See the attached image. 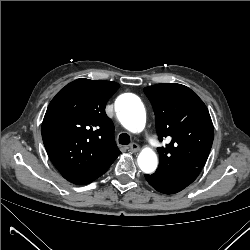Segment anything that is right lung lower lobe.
Listing matches in <instances>:
<instances>
[{
	"mask_svg": "<svg viewBox=\"0 0 250 250\" xmlns=\"http://www.w3.org/2000/svg\"><path fill=\"white\" fill-rule=\"evenodd\" d=\"M114 160L115 159H111L93 170L79 174L64 175L63 177L71 183L77 185H85L91 183L92 181L100 177L102 174H104L108 170L110 165L114 162Z\"/></svg>",
	"mask_w": 250,
	"mask_h": 250,
	"instance_id": "98d812e1",
	"label": "right lung lower lobe"
}]
</instances>
